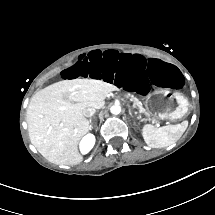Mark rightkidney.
<instances>
[{"instance_id":"right-kidney-1","label":"right kidney","mask_w":215,"mask_h":215,"mask_svg":"<svg viewBox=\"0 0 215 215\" xmlns=\"http://www.w3.org/2000/svg\"><path fill=\"white\" fill-rule=\"evenodd\" d=\"M96 142V137L93 133H87L84 135L79 144L78 149L81 155H86L90 152V150L94 147Z\"/></svg>"}]
</instances>
